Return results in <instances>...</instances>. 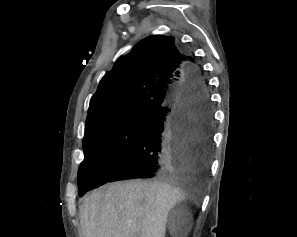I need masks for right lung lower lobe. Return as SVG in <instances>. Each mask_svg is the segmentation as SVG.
Wrapping results in <instances>:
<instances>
[{
  "label": "right lung lower lobe",
  "mask_w": 297,
  "mask_h": 237,
  "mask_svg": "<svg viewBox=\"0 0 297 237\" xmlns=\"http://www.w3.org/2000/svg\"><path fill=\"white\" fill-rule=\"evenodd\" d=\"M191 59L187 81L173 91L167 104L152 113L136 141L100 186L107 182L208 170L213 116L206 84Z\"/></svg>",
  "instance_id": "obj_1"
}]
</instances>
